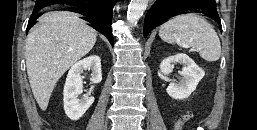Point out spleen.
<instances>
[{
    "label": "spleen",
    "instance_id": "3e777b00",
    "mask_svg": "<svg viewBox=\"0 0 257 130\" xmlns=\"http://www.w3.org/2000/svg\"><path fill=\"white\" fill-rule=\"evenodd\" d=\"M159 36L167 43L197 49L200 57L208 62H215L220 58L221 44L217 33L197 14L173 17L160 27Z\"/></svg>",
    "mask_w": 257,
    "mask_h": 130
}]
</instances>
